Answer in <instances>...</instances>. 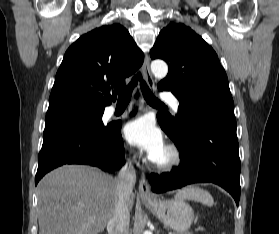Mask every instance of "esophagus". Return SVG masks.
<instances>
[{"instance_id":"34e87169","label":"esophagus","mask_w":279,"mask_h":234,"mask_svg":"<svg viewBox=\"0 0 279 234\" xmlns=\"http://www.w3.org/2000/svg\"><path fill=\"white\" fill-rule=\"evenodd\" d=\"M142 69H143L144 79L146 80L148 86L151 89H154L155 85H154V80H153V77H152V74L150 71V59H149L148 55H145ZM138 191H139V195L142 199L153 200L155 198L144 175L142 176V178L140 180Z\"/></svg>"}]
</instances>
